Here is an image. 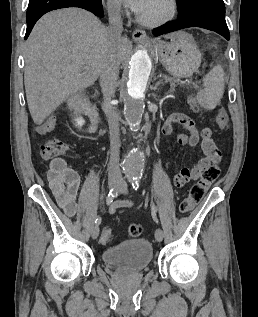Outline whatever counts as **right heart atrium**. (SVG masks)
<instances>
[{"mask_svg": "<svg viewBox=\"0 0 258 317\" xmlns=\"http://www.w3.org/2000/svg\"><path fill=\"white\" fill-rule=\"evenodd\" d=\"M108 10L113 14H118L121 11L120 5L116 1L108 2Z\"/></svg>", "mask_w": 258, "mask_h": 317, "instance_id": "1", "label": "right heart atrium"}]
</instances>
